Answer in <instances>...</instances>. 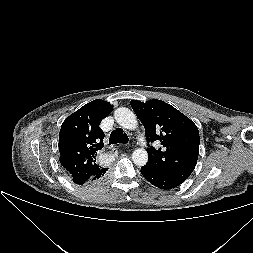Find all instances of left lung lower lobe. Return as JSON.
Segmentation results:
<instances>
[{"mask_svg":"<svg viewBox=\"0 0 253 253\" xmlns=\"http://www.w3.org/2000/svg\"><path fill=\"white\" fill-rule=\"evenodd\" d=\"M141 173L151 184L160 189L168 190L175 188L181 184L177 181H174L168 177H165L161 174L154 172L153 170H151L146 166H143L141 168Z\"/></svg>","mask_w":253,"mask_h":253,"instance_id":"0a47b994","label":"left lung lower lobe"}]
</instances>
